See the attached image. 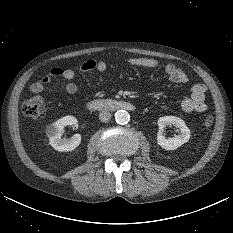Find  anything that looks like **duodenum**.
<instances>
[{
    "label": "duodenum",
    "instance_id": "1",
    "mask_svg": "<svg viewBox=\"0 0 233 233\" xmlns=\"http://www.w3.org/2000/svg\"><path fill=\"white\" fill-rule=\"evenodd\" d=\"M87 108L90 110H134L135 106L129 102L122 100H92L87 103Z\"/></svg>",
    "mask_w": 233,
    "mask_h": 233
}]
</instances>
